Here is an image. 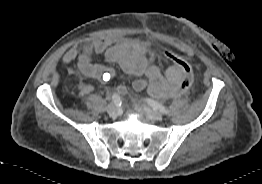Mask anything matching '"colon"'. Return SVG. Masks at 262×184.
I'll return each mask as SVG.
<instances>
[{"instance_id":"obj_1","label":"colon","mask_w":262,"mask_h":184,"mask_svg":"<svg viewBox=\"0 0 262 184\" xmlns=\"http://www.w3.org/2000/svg\"><path fill=\"white\" fill-rule=\"evenodd\" d=\"M167 56L171 58L174 62H176L183 71V78L180 83L171 91L170 97L176 98L184 95L190 86L193 83L194 74H193V67L191 63L185 59L184 57L180 56L174 52H168ZM118 91L121 94L126 92V88L124 86H119Z\"/></svg>"}]
</instances>
